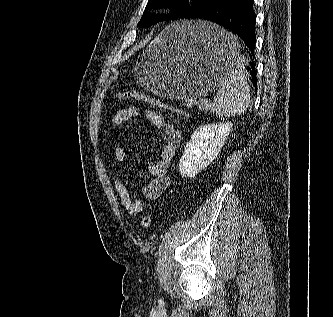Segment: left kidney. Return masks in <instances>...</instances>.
Listing matches in <instances>:
<instances>
[{"label":"left kidney","instance_id":"obj_1","mask_svg":"<svg viewBox=\"0 0 333 317\" xmlns=\"http://www.w3.org/2000/svg\"><path fill=\"white\" fill-rule=\"evenodd\" d=\"M231 130L232 124L226 122L199 126L180 159L181 176L192 178L205 169L218 156Z\"/></svg>","mask_w":333,"mask_h":317}]
</instances>
